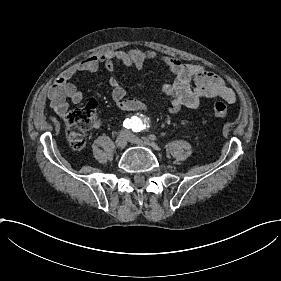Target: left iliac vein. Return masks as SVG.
Returning a JSON list of instances; mask_svg holds the SVG:
<instances>
[{
    "instance_id": "left-iliac-vein-1",
    "label": "left iliac vein",
    "mask_w": 281,
    "mask_h": 281,
    "mask_svg": "<svg viewBox=\"0 0 281 281\" xmlns=\"http://www.w3.org/2000/svg\"><path fill=\"white\" fill-rule=\"evenodd\" d=\"M126 137H128L127 140L129 143H136V145H139V147L142 146V141H140L136 135L131 134V132H126Z\"/></svg>"
}]
</instances>
